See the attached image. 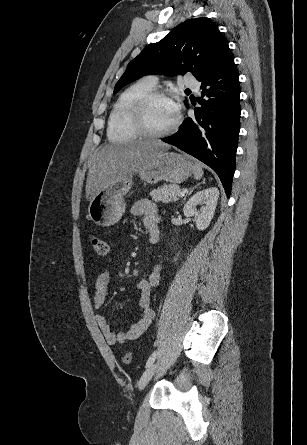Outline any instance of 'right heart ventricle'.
<instances>
[{"instance_id":"right-heart-ventricle-1","label":"right heart ventricle","mask_w":307,"mask_h":445,"mask_svg":"<svg viewBox=\"0 0 307 445\" xmlns=\"http://www.w3.org/2000/svg\"><path fill=\"white\" fill-rule=\"evenodd\" d=\"M154 87L147 81H141L130 87L114 104L108 124V137L110 140H141L140 129L135 118L137 103Z\"/></svg>"}]
</instances>
